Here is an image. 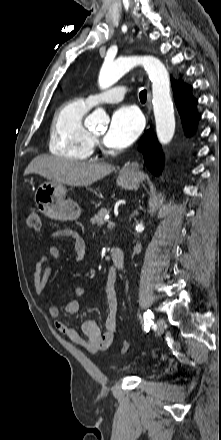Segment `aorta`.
<instances>
[{
	"instance_id": "1",
	"label": "aorta",
	"mask_w": 221,
	"mask_h": 440,
	"mask_svg": "<svg viewBox=\"0 0 221 440\" xmlns=\"http://www.w3.org/2000/svg\"><path fill=\"white\" fill-rule=\"evenodd\" d=\"M137 65H142L145 68L152 82V103L156 133L160 143L167 144L174 136L175 117L170 94L169 73L159 59L153 56H131L119 58L114 62H107L100 71L99 86L101 89L111 87L131 68ZM106 121L107 115L102 108L96 109L87 118V122L90 125L104 124ZM136 229H143V224L139 223Z\"/></svg>"
}]
</instances>
